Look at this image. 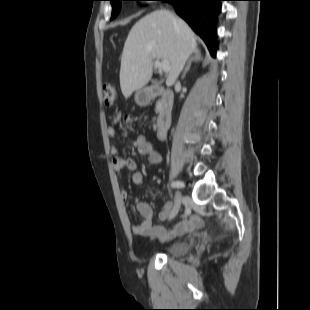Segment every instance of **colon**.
Here are the masks:
<instances>
[{
	"label": "colon",
	"mask_w": 310,
	"mask_h": 310,
	"mask_svg": "<svg viewBox=\"0 0 310 310\" xmlns=\"http://www.w3.org/2000/svg\"><path fill=\"white\" fill-rule=\"evenodd\" d=\"M118 96L117 88L112 84L103 85V102L106 106H112L115 104ZM125 121H129V118H125Z\"/></svg>",
	"instance_id": "colon-1"
}]
</instances>
